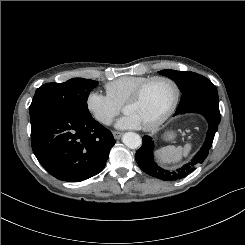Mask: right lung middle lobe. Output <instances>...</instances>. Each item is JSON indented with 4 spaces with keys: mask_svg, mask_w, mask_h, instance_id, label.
Returning <instances> with one entry per match:
<instances>
[{
    "mask_svg": "<svg viewBox=\"0 0 245 245\" xmlns=\"http://www.w3.org/2000/svg\"><path fill=\"white\" fill-rule=\"evenodd\" d=\"M97 81L73 78L64 83H47L36 90L29 107L30 119L43 111L67 116H89L87 99Z\"/></svg>",
    "mask_w": 245,
    "mask_h": 245,
    "instance_id": "1",
    "label": "right lung middle lobe"
}]
</instances>
